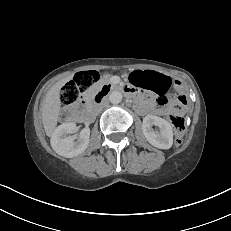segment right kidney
<instances>
[{
    "label": "right kidney",
    "instance_id": "1",
    "mask_svg": "<svg viewBox=\"0 0 231 231\" xmlns=\"http://www.w3.org/2000/svg\"><path fill=\"white\" fill-rule=\"evenodd\" d=\"M75 131L76 123L74 122L63 123L58 126L51 136L53 150L66 158H72L83 153L89 144L90 130L88 128L81 130L76 141L73 136H68Z\"/></svg>",
    "mask_w": 231,
    "mask_h": 231
}]
</instances>
